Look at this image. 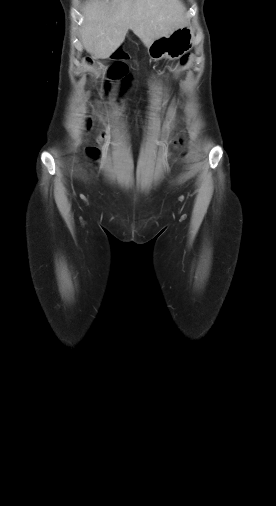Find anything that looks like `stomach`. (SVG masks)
I'll list each match as a JSON object with an SVG mask.
<instances>
[{"label":"stomach","mask_w":276,"mask_h":506,"mask_svg":"<svg viewBox=\"0 0 276 506\" xmlns=\"http://www.w3.org/2000/svg\"><path fill=\"white\" fill-rule=\"evenodd\" d=\"M194 32L188 25H183L170 34L161 36L151 42L148 54L157 61L162 58L177 59L182 57L193 47Z\"/></svg>","instance_id":"stomach-1"}]
</instances>
